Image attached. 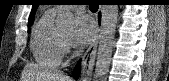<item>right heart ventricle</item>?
I'll return each mask as SVG.
<instances>
[{
	"label": "right heart ventricle",
	"mask_w": 169,
	"mask_h": 81,
	"mask_svg": "<svg viewBox=\"0 0 169 81\" xmlns=\"http://www.w3.org/2000/svg\"><path fill=\"white\" fill-rule=\"evenodd\" d=\"M55 12L48 10L38 20L32 31L31 51L37 63L57 67L62 59L60 32L54 26Z\"/></svg>",
	"instance_id": "e07e8e85"
}]
</instances>
